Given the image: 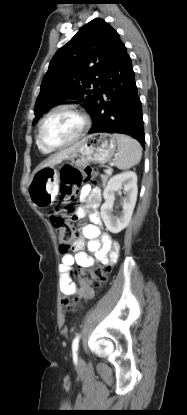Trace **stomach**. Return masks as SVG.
<instances>
[{
  "instance_id": "0dacf381",
  "label": "stomach",
  "mask_w": 187,
  "mask_h": 415,
  "mask_svg": "<svg viewBox=\"0 0 187 415\" xmlns=\"http://www.w3.org/2000/svg\"><path fill=\"white\" fill-rule=\"evenodd\" d=\"M116 148L117 141L112 134L96 133L82 139L66 160L76 166H84L90 162L104 164L112 159ZM57 193L58 169L55 165L43 167L33 173L28 185V195L36 207L51 205Z\"/></svg>"
}]
</instances>
